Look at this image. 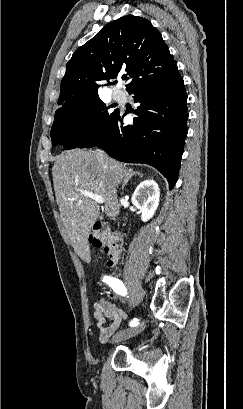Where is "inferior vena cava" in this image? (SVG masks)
Instances as JSON below:
<instances>
[{
	"label": "inferior vena cava",
	"mask_w": 243,
	"mask_h": 409,
	"mask_svg": "<svg viewBox=\"0 0 243 409\" xmlns=\"http://www.w3.org/2000/svg\"><path fill=\"white\" fill-rule=\"evenodd\" d=\"M96 157H97L98 161L101 162V163H104L106 161V159H107V155L104 152L100 151V150L96 151Z\"/></svg>",
	"instance_id": "602c4592"
}]
</instances>
